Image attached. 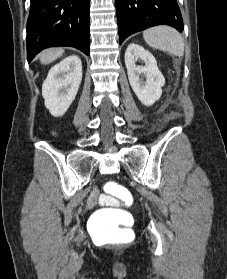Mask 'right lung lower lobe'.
<instances>
[{"label":"right lung lower lobe","mask_w":227,"mask_h":279,"mask_svg":"<svg viewBox=\"0 0 227 279\" xmlns=\"http://www.w3.org/2000/svg\"><path fill=\"white\" fill-rule=\"evenodd\" d=\"M90 0H31L27 60L48 47L71 46L89 55Z\"/></svg>","instance_id":"obj_1"}]
</instances>
